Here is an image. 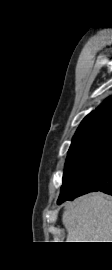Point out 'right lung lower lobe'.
I'll return each mask as SVG.
<instances>
[{
	"mask_svg": "<svg viewBox=\"0 0 112 270\" xmlns=\"http://www.w3.org/2000/svg\"><path fill=\"white\" fill-rule=\"evenodd\" d=\"M83 194L102 191L112 195V144L100 162L82 177ZM82 194V195H83Z\"/></svg>",
	"mask_w": 112,
	"mask_h": 270,
	"instance_id": "1",
	"label": "right lung lower lobe"
}]
</instances>
